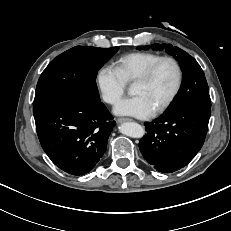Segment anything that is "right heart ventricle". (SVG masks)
I'll list each match as a JSON object with an SVG mask.
<instances>
[{
    "label": "right heart ventricle",
    "instance_id": "right-heart-ventricle-1",
    "mask_svg": "<svg viewBox=\"0 0 231 231\" xmlns=\"http://www.w3.org/2000/svg\"><path fill=\"white\" fill-rule=\"evenodd\" d=\"M162 57L152 52H132L123 55L114 63V68L126 83L134 82L152 63Z\"/></svg>",
    "mask_w": 231,
    "mask_h": 231
}]
</instances>
